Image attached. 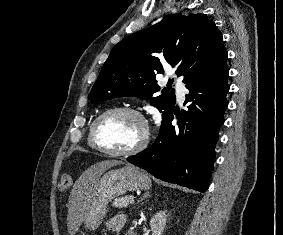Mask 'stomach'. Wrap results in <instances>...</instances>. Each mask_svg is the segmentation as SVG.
Listing matches in <instances>:
<instances>
[{
    "mask_svg": "<svg viewBox=\"0 0 283 235\" xmlns=\"http://www.w3.org/2000/svg\"><path fill=\"white\" fill-rule=\"evenodd\" d=\"M151 185L149 177L133 165L112 169L99 178L90 194L85 210V225L96 230L107 212L108 203L127 191L147 189Z\"/></svg>",
    "mask_w": 283,
    "mask_h": 235,
    "instance_id": "0dacf381",
    "label": "stomach"
}]
</instances>
